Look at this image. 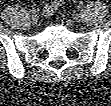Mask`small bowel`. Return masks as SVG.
<instances>
[{
	"mask_svg": "<svg viewBox=\"0 0 111 106\" xmlns=\"http://www.w3.org/2000/svg\"><path fill=\"white\" fill-rule=\"evenodd\" d=\"M64 4V0H52L44 7L43 13L45 16H51L58 7Z\"/></svg>",
	"mask_w": 111,
	"mask_h": 106,
	"instance_id": "1",
	"label": "small bowel"
}]
</instances>
